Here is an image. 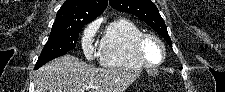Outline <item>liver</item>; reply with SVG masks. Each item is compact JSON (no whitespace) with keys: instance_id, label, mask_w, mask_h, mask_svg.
Segmentation results:
<instances>
[{"instance_id":"obj_1","label":"liver","mask_w":225,"mask_h":92,"mask_svg":"<svg viewBox=\"0 0 225 92\" xmlns=\"http://www.w3.org/2000/svg\"><path fill=\"white\" fill-rule=\"evenodd\" d=\"M140 71L127 68L96 69L72 55L59 57L36 72L35 92H124Z\"/></svg>"}]
</instances>
